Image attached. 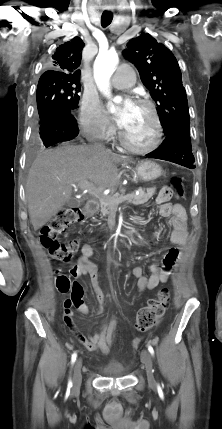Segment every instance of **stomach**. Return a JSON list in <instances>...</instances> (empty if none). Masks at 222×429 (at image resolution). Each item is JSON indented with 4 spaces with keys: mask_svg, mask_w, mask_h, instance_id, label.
<instances>
[{
    "mask_svg": "<svg viewBox=\"0 0 222 429\" xmlns=\"http://www.w3.org/2000/svg\"><path fill=\"white\" fill-rule=\"evenodd\" d=\"M135 172L137 175V181L149 182L159 178L162 175L163 170L159 164L147 160L140 162L136 166Z\"/></svg>",
    "mask_w": 222,
    "mask_h": 429,
    "instance_id": "obj_1",
    "label": "stomach"
}]
</instances>
